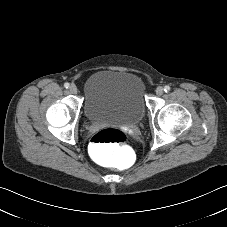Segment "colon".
<instances>
[{"mask_svg":"<svg viewBox=\"0 0 227 227\" xmlns=\"http://www.w3.org/2000/svg\"><path fill=\"white\" fill-rule=\"evenodd\" d=\"M127 134L118 129H104L97 132L91 140V149L96 153L98 161L109 167L127 166L126 150Z\"/></svg>","mask_w":227,"mask_h":227,"instance_id":"1","label":"colon"}]
</instances>
